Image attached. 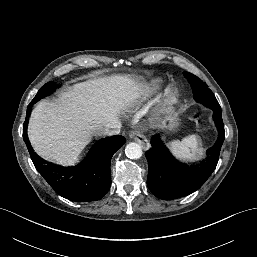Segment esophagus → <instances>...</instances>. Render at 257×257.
Listing matches in <instances>:
<instances>
[{
  "label": "esophagus",
  "instance_id": "1",
  "mask_svg": "<svg viewBox=\"0 0 257 257\" xmlns=\"http://www.w3.org/2000/svg\"><path fill=\"white\" fill-rule=\"evenodd\" d=\"M130 138L137 142L144 150H147L150 147L149 141L139 132L131 133Z\"/></svg>",
  "mask_w": 257,
  "mask_h": 257
}]
</instances>
